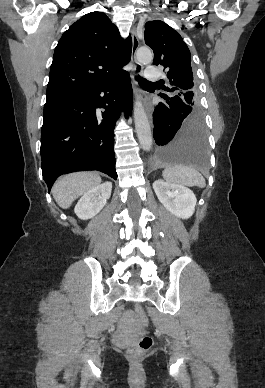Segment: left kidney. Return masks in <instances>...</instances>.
Returning <instances> with one entry per match:
<instances>
[{"mask_svg": "<svg viewBox=\"0 0 265 388\" xmlns=\"http://www.w3.org/2000/svg\"><path fill=\"white\" fill-rule=\"evenodd\" d=\"M153 190L164 208L177 218L187 220L194 214L197 200L189 188L156 180L153 184Z\"/></svg>", "mask_w": 265, "mask_h": 388, "instance_id": "1", "label": "left kidney"}]
</instances>
